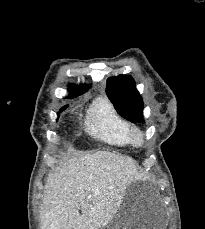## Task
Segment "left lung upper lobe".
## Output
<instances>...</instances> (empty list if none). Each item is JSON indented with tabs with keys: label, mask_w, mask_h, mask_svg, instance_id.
Wrapping results in <instances>:
<instances>
[{
	"label": "left lung upper lobe",
	"mask_w": 205,
	"mask_h": 229,
	"mask_svg": "<svg viewBox=\"0 0 205 229\" xmlns=\"http://www.w3.org/2000/svg\"><path fill=\"white\" fill-rule=\"evenodd\" d=\"M131 76L119 75L107 81L106 93L118 113L132 122H142L143 101Z\"/></svg>",
	"instance_id": "1"
}]
</instances>
